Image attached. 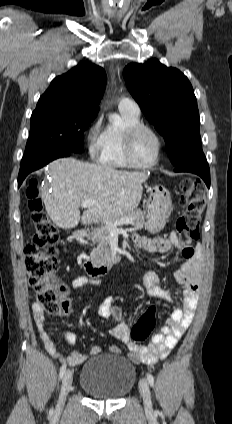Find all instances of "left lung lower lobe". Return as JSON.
Masks as SVG:
<instances>
[{
	"label": "left lung lower lobe",
	"mask_w": 232,
	"mask_h": 424,
	"mask_svg": "<svg viewBox=\"0 0 232 424\" xmlns=\"http://www.w3.org/2000/svg\"><path fill=\"white\" fill-rule=\"evenodd\" d=\"M175 172H191L199 175L210 187V170L201 143L193 146L183 159L174 166Z\"/></svg>",
	"instance_id": "obj_1"
}]
</instances>
